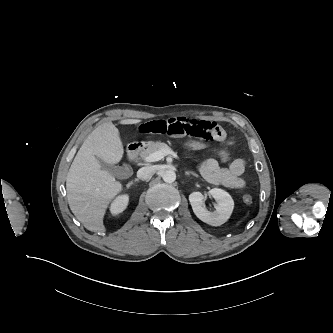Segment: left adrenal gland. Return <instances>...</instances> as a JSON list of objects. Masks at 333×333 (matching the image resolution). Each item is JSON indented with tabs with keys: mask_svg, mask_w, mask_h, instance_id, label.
I'll return each mask as SVG.
<instances>
[{
	"mask_svg": "<svg viewBox=\"0 0 333 333\" xmlns=\"http://www.w3.org/2000/svg\"><path fill=\"white\" fill-rule=\"evenodd\" d=\"M187 176H189V175H194V176H196V177H198V175L196 174V173H194V172H186L185 173Z\"/></svg>",
	"mask_w": 333,
	"mask_h": 333,
	"instance_id": "obj_1",
	"label": "left adrenal gland"
}]
</instances>
